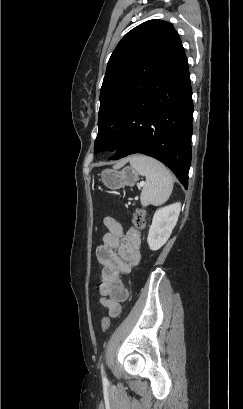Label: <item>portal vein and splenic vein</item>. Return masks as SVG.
<instances>
[{
    "label": "portal vein and splenic vein",
    "mask_w": 243,
    "mask_h": 409,
    "mask_svg": "<svg viewBox=\"0 0 243 409\" xmlns=\"http://www.w3.org/2000/svg\"><path fill=\"white\" fill-rule=\"evenodd\" d=\"M143 185H144V183H140V184H139V187H142Z\"/></svg>",
    "instance_id": "1"
}]
</instances>
